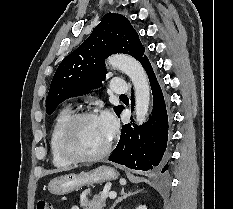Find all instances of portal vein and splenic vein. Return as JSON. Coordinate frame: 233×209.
Instances as JSON below:
<instances>
[{"instance_id": "obj_1", "label": "portal vein and splenic vein", "mask_w": 233, "mask_h": 209, "mask_svg": "<svg viewBox=\"0 0 233 209\" xmlns=\"http://www.w3.org/2000/svg\"><path fill=\"white\" fill-rule=\"evenodd\" d=\"M108 196H109L110 199H115L116 196H117V194H116V192H110V193L108 194Z\"/></svg>"}]
</instances>
